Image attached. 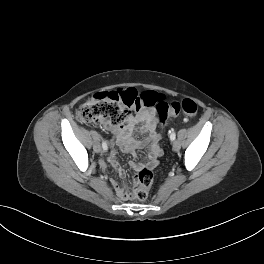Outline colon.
Instances as JSON below:
<instances>
[{
	"label": "colon",
	"mask_w": 264,
	"mask_h": 264,
	"mask_svg": "<svg viewBox=\"0 0 264 264\" xmlns=\"http://www.w3.org/2000/svg\"><path fill=\"white\" fill-rule=\"evenodd\" d=\"M143 108H153L162 124L172 115L182 114L191 119L199 111L197 103L192 99L186 98L169 104L161 93L138 92L134 88H127L97 93L76 110L75 116L81 123L114 129L122 123L130 110L139 111ZM152 183V171L149 168L141 169L133 180L130 196L140 201L146 200Z\"/></svg>",
	"instance_id": "colon-1"
}]
</instances>
